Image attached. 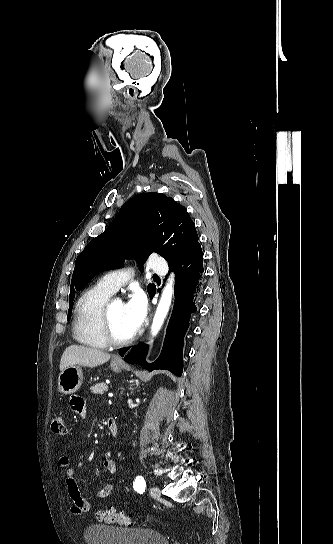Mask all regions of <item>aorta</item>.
<instances>
[{
  "mask_svg": "<svg viewBox=\"0 0 333 544\" xmlns=\"http://www.w3.org/2000/svg\"><path fill=\"white\" fill-rule=\"evenodd\" d=\"M172 296H173V278H170L167 282L166 287L164 288L162 292L161 299L159 301V304L157 306V309L153 318V322L151 326V333L153 336H155L159 332L167 316V313L171 305Z\"/></svg>",
  "mask_w": 333,
  "mask_h": 544,
  "instance_id": "1",
  "label": "aorta"
}]
</instances>
